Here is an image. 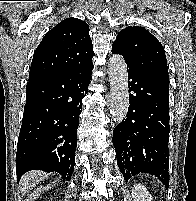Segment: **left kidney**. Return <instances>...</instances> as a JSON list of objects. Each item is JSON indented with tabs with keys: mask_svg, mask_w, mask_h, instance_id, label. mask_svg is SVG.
<instances>
[{
	"mask_svg": "<svg viewBox=\"0 0 196 201\" xmlns=\"http://www.w3.org/2000/svg\"><path fill=\"white\" fill-rule=\"evenodd\" d=\"M131 194L133 201H152L151 195L141 184H135Z\"/></svg>",
	"mask_w": 196,
	"mask_h": 201,
	"instance_id": "5707ae66",
	"label": "left kidney"
}]
</instances>
